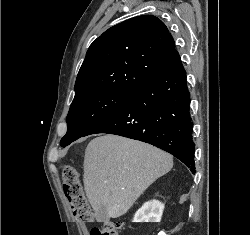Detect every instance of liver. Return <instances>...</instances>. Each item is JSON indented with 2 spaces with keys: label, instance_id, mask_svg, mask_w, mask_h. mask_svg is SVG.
I'll return each instance as SVG.
<instances>
[{
  "label": "liver",
  "instance_id": "6515ba94",
  "mask_svg": "<svg viewBox=\"0 0 250 235\" xmlns=\"http://www.w3.org/2000/svg\"><path fill=\"white\" fill-rule=\"evenodd\" d=\"M172 167V156L150 144L111 134L91 140L85 150L83 181L97 221L101 206L111 218L124 215Z\"/></svg>",
  "mask_w": 250,
  "mask_h": 235
}]
</instances>
